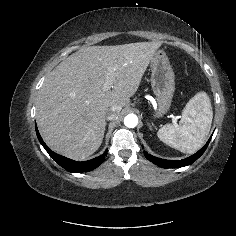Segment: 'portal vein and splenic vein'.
<instances>
[{
    "label": "portal vein and splenic vein",
    "mask_w": 236,
    "mask_h": 236,
    "mask_svg": "<svg viewBox=\"0 0 236 236\" xmlns=\"http://www.w3.org/2000/svg\"><path fill=\"white\" fill-rule=\"evenodd\" d=\"M111 72H114L115 71V68H111V70H110ZM109 88V87H108Z\"/></svg>",
    "instance_id": "1"
}]
</instances>
